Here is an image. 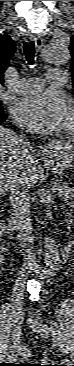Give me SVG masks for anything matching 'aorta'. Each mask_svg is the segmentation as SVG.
<instances>
[{"label":"aorta","instance_id":"1","mask_svg":"<svg viewBox=\"0 0 74 366\" xmlns=\"http://www.w3.org/2000/svg\"><path fill=\"white\" fill-rule=\"evenodd\" d=\"M40 61L53 65V66H63L67 64L70 60V52L68 44H63L59 42H51L44 46ZM45 247V260L50 270H54L57 264L58 258V248L55 240L50 236H45L43 240Z\"/></svg>","mask_w":74,"mask_h":366}]
</instances>
